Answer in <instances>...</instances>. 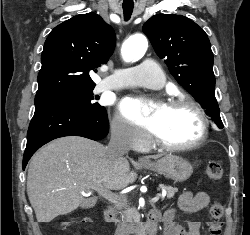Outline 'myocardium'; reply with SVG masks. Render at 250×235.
Instances as JSON below:
<instances>
[{"label":"myocardium","instance_id":"1","mask_svg":"<svg viewBox=\"0 0 250 235\" xmlns=\"http://www.w3.org/2000/svg\"><path fill=\"white\" fill-rule=\"evenodd\" d=\"M183 106L191 108L197 114L199 118L200 129H199V133L197 137L189 143L169 144L163 141L154 131H152L151 132L152 141L160 149L169 151V152L191 150V149L198 147L206 139L207 133H208V117H207L205 110L197 101L189 97H178V98L170 100L165 105V107L167 108H177V107H183Z\"/></svg>","mask_w":250,"mask_h":235}]
</instances>
